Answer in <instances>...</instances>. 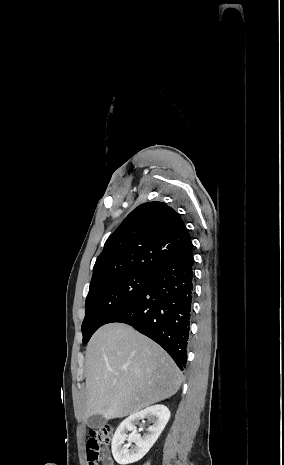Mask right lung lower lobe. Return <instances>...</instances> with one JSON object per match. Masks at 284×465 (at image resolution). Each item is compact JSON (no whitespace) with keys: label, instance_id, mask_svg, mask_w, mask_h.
<instances>
[{"label":"right lung lower lobe","instance_id":"right-lung-lower-lobe-1","mask_svg":"<svg viewBox=\"0 0 284 465\" xmlns=\"http://www.w3.org/2000/svg\"><path fill=\"white\" fill-rule=\"evenodd\" d=\"M193 252L153 275L146 287L107 323L131 325L163 347L184 370L190 343V324L194 297Z\"/></svg>","mask_w":284,"mask_h":465}]
</instances>
